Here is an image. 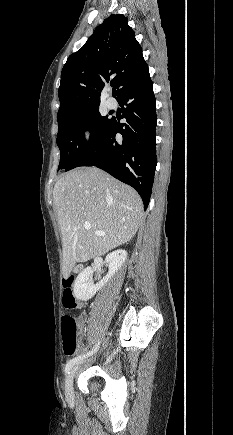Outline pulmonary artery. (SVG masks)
Masks as SVG:
<instances>
[{"label":"pulmonary artery","instance_id":"1","mask_svg":"<svg viewBox=\"0 0 233 435\" xmlns=\"http://www.w3.org/2000/svg\"><path fill=\"white\" fill-rule=\"evenodd\" d=\"M106 105L109 109H113L116 106V101L113 97H108L106 101Z\"/></svg>","mask_w":233,"mask_h":435}]
</instances>
